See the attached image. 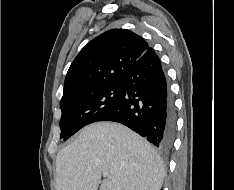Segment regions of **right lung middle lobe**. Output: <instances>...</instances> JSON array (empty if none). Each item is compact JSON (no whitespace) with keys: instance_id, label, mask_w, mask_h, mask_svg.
I'll list each match as a JSON object with an SVG mask.
<instances>
[{"instance_id":"obj_1","label":"right lung middle lobe","mask_w":234,"mask_h":190,"mask_svg":"<svg viewBox=\"0 0 234 190\" xmlns=\"http://www.w3.org/2000/svg\"><path fill=\"white\" fill-rule=\"evenodd\" d=\"M120 89V84L115 83L81 92L60 102V138L66 140L82 127L98 121L114 106Z\"/></svg>"}]
</instances>
